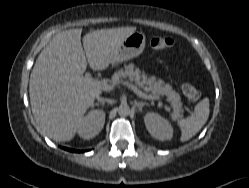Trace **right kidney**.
I'll list each match as a JSON object with an SVG mask.
<instances>
[{
  "label": "right kidney",
  "instance_id": "ca27d5eb",
  "mask_svg": "<svg viewBox=\"0 0 249 188\" xmlns=\"http://www.w3.org/2000/svg\"><path fill=\"white\" fill-rule=\"evenodd\" d=\"M104 123L105 113L102 110H91L82 117L77 133L83 139H92L102 130Z\"/></svg>",
  "mask_w": 249,
  "mask_h": 188
}]
</instances>
